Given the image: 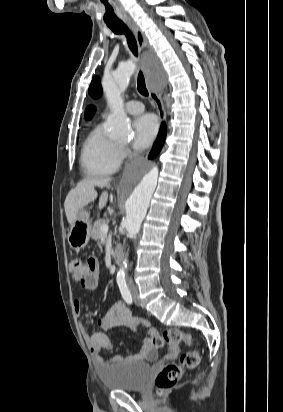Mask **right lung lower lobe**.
I'll return each mask as SVG.
<instances>
[{"mask_svg":"<svg viewBox=\"0 0 283 412\" xmlns=\"http://www.w3.org/2000/svg\"><path fill=\"white\" fill-rule=\"evenodd\" d=\"M166 133H167L166 125L163 123L159 131L158 138L149 154L150 159L156 157L161 151L164 141H165Z\"/></svg>","mask_w":283,"mask_h":412,"instance_id":"98d812e1","label":"right lung lower lobe"}]
</instances>
